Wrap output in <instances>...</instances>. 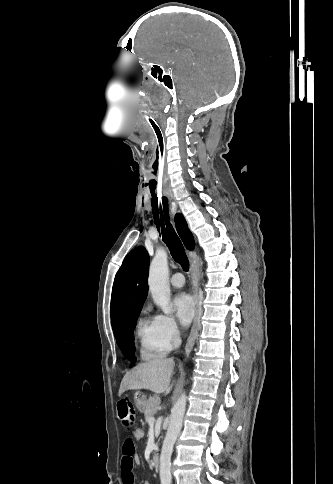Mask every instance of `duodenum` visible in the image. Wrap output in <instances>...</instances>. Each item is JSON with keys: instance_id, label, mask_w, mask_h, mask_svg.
Masks as SVG:
<instances>
[{"instance_id": "duodenum-1", "label": "duodenum", "mask_w": 333, "mask_h": 484, "mask_svg": "<svg viewBox=\"0 0 333 484\" xmlns=\"http://www.w3.org/2000/svg\"><path fill=\"white\" fill-rule=\"evenodd\" d=\"M152 460H153V465H154L155 469H159V467H160V449H156L154 451Z\"/></svg>"}]
</instances>
